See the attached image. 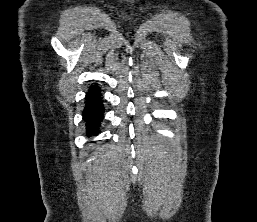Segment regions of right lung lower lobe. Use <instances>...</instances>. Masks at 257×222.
<instances>
[{
    "label": "right lung lower lobe",
    "mask_w": 257,
    "mask_h": 222,
    "mask_svg": "<svg viewBox=\"0 0 257 222\" xmlns=\"http://www.w3.org/2000/svg\"><path fill=\"white\" fill-rule=\"evenodd\" d=\"M100 92V88L94 85L89 88L86 94V108L83 111V119L86 122L88 136L98 134L97 128L104 117V107Z\"/></svg>",
    "instance_id": "1"
}]
</instances>
